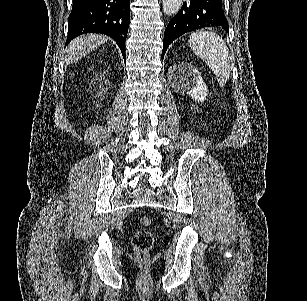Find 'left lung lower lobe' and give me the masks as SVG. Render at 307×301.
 Returning a JSON list of instances; mask_svg holds the SVG:
<instances>
[{
	"label": "left lung lower lobe",
	"instance_id": "1",
	"mask_svg": "<svg viewBox=\"0 0 307 301\" xmlns=\"http://www.w3.org/2000/svg\"><path fill=\"white\" fill-rule=\"evenodd\" d=\"M206 26L222 27L229 32L222 0H187L165 30L162 59L169 45L186 32Z\"/></svg>",
	"mask_w": 307,
	"mask_h": 301
}]
</instances>
